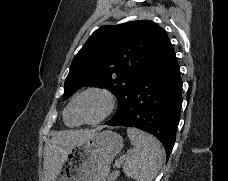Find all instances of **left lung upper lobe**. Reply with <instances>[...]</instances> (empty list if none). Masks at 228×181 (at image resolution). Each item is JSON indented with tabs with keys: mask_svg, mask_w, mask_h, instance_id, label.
Returning a JSON list of instances; mask_svg holds the SVG:
<instances>
[{
	"mask_svg": "<svg viewBox=\"0 0 228 181\" xmlns=\"http://www.w3.org/2000/svg\"><path fill=\"white\" fill-rule=\"evenodd\" d=\"M169 43L166 32L150 20L100 27L73 58L64 99L84 86L106 88L118 100L117 112L108 123L117 122L125 114L139 75Z\"/></svg>",
	"mask_w": 228,
	"mask_h": 181,
	"instance_id": "5c2ea615",
	"label": "left lung upper lobe"
}]
</instances>
